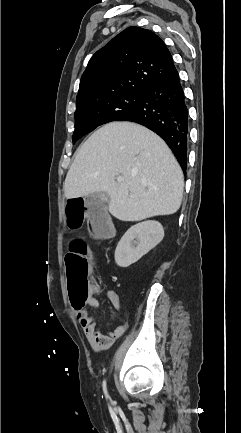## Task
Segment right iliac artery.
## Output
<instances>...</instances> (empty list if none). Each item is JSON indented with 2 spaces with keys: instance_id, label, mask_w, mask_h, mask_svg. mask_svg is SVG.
<instances>
[{
  "instance_id": "1",
  "label": "right iliac artery",
  "mask_w": 241,
  "mask_h": 433,
  "mask_svg": "<svg viewBox=\"0 0 241 433\" xmlns=\"http://www.w3.org/2000/svg\"><path fill=\"white\" fill-rule=\"evenodd\" d=\"M103 391H104V394H105V396H106V398L108 399L109 398V395H108V393H107V388H106V381L104 380L103 381Z\"/></svg>"
}]
</instances>
